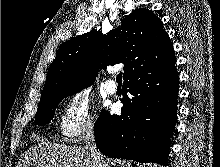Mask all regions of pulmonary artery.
I'll return each instance as SVG.
<instances>
[{
	"mask_svg": "<svg viewBox=\"0 0 220 167\" xmlns=\"http://www.w3.org/2000/svg\"><path fill=\"white\" fill-rule=\"evenodd\" d=\"M104 89L108 94L112 95L116 92L117 86L113 81L110 80L104 83Z\"/></svg>",
	"mask_w": 220,
	"mask_h": 167,
	"instance_id": "1",
	"label": "pulmonary artery"
}]
</instances>
